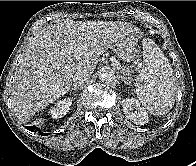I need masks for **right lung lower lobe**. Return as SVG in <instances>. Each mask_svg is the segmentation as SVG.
I'll list each match as a JSON object with an SVG mask.
<instances>
[{
  "mask_svg": "<svg viewBox=\"0 0 196 166\" xmlns=\"http://www.w3.org/2000/svg\"><path fill=\"white\" fill-rule=\"evenodd\" d=\"M25 128H27L28 130H30L32 132H38L40 135H43V136L49 135V133L41 132L40 129L38 127H35V126H26Z\"/></svg>",
  "mask_w": 196,
  "mask_h": 166,
  "instance_id": "1",
  "label": "right lung lower lobe"
}]
</instances>
